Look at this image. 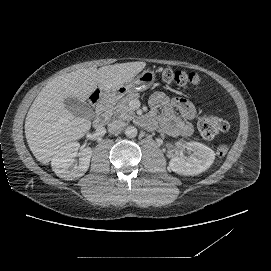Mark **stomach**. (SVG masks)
<instances>
[{
    "instance_id": "obj_1",
    "label": "stomach",
    "mask_w": 271,
    "mask_h": 271,
    "mask_svg": "<svg viewBox=\"0 0 271 271\" xmlns=\"http://www.w3.org/2000/svg\"><path fill=\"white\" fill-rule=\"evenodd\" d=\"M155 81V72L151 70H144L136 78L130 82L123 84L110 91V95L115 100H120L129 93H137L147 90Z\"/></svg>"
}]
</instances>
